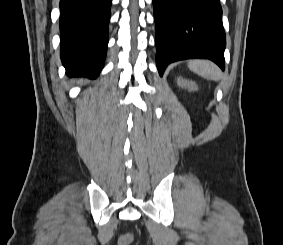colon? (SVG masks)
<instances>
[{
  "label": "colon",
  "mask_w": 283,
  "mask_h": 245,
  "mask_svg": "<svg viewBox=\"0 0 283 245\" xmlns=\"http://www.w3.org/2000/svg\"><path fill=\"white\" fill-rule=\"evenodd\" d=\"M134 240V236L131 233L122 235L118 240V245H130Z\"/></svg>",
  "instance_id": "obj_1"
}]
</instances>
